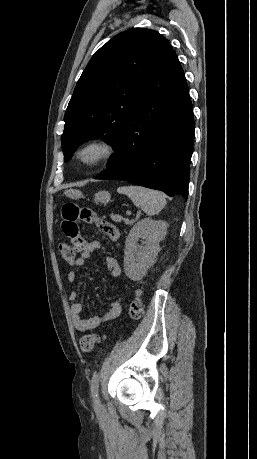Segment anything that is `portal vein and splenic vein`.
I'll list each match as a JSON object with an SVG mask.
<instances>
[{"label":"portal vein and splenic vein","instance_id":"obj_1","mask_svg":"<svg viewBox=\"0 0 257 459\" xmlns=\"http://www.w3.org/2000/svg\"><path fill=\"white\" fill-rule=\"evenodd\" d=\"M126 224H130V221L128 219H125Z\"/></svg>","mask_w":257,"mask_h":459}]
</instances>
